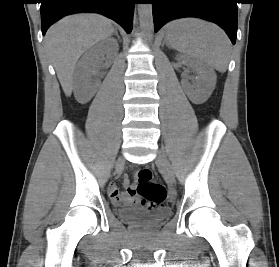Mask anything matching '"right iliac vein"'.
I'll use <instances>...</instances> for the list:
<instances>
[{
    "label": "right iliac vein",
    "mask_w": 279,
    "mask_h": 267,
    "mask_svg": "<svg viewBox=\"0 0 279 267\" xmlns=\"http://www.w3.org/2000/svg\"><path fill=\"white\" fill-rule=\"evenodd\" d=\"M123 163H124L123 158H120L117 162V171H120L122 169Z\"/></svg>",
    "instance_id": "right-iliac-vein-1"
}]
</instances>
